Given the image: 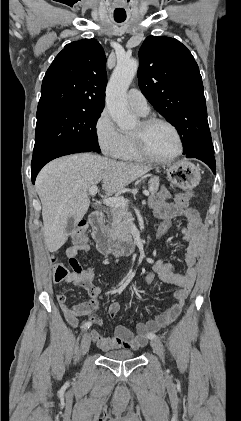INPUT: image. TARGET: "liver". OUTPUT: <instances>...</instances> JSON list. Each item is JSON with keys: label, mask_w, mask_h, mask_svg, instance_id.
<instances>
[{"label": "liver", "mask_w": 241, "mask_h": 421, "mask_svg": "<svg viewBox=\"0 0 241 421\" xmlns=\"http://www.w3.org/2000/svg\"><path fill=\"white\" fill-rule=\"evenodd\" d=\"M151 169L91 153L65 156L47 164L35 183L42 204L46 248L50 252L61 248L67 239L68 219L79 221L87 213L91 186L102 181L105 194H116Z\"/></svg>", "instance_id": "6515ba94"}]
</instances>
